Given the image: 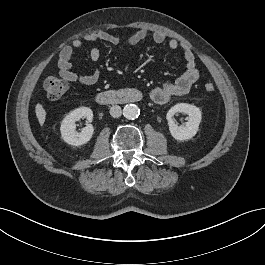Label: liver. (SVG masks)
Returning a JSON list of instances; mask_svg holds the SVG:
<instances>
[{
  "label": "liver",
  "instance_id": "6515ba94",
  "mask_svg": "<svg viewBox=\"0 0 265 265\" xmlns=\"http://www.w3.org/2000/svg\"><path fill=\"white\" fill-rule=\"evenodd\" d=\"M35 113H36L39 124L43 126L45 119H46V111L41 104L39 103L36 104Z\"/></svg>",
  "mask_w": 265,
  "mask_h": 265
}]
</instances>
